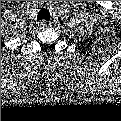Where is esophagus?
Wrapping results in <instances>:
<instances>
[{"mask_svg":"<svg viewBox=\"0 0 121 121\" xmlns=\"http://www.w3.org/2000/svg\"><path fill=\"white\" fill-rule=\"evenodd\" d=\"M40 26L43 27V28H48L51 26V23L46 21V20H43L40 22Z\"/></svg>","mask_w":121,"mask_h":121,"instance_id":"34e87169","label":"esophagus"}]
</instances>
